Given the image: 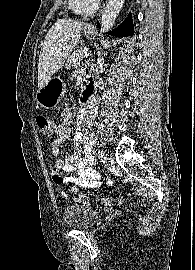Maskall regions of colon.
<instances>
[{
  "mask_svg": "<svg viewBox=\"0 0 195 270\" xmlns=\"http://www.w3.org/2000/svg\"><path fill=\"white\" fill-rule=\"evenodd\" d=\"M36 124L41 132L45 135H51L55 128L54 122L50 118L43 115L37 116ZM102 202L108 206L115 204V201L111 198H103Z\"/></svg>",
  "mask_w": 195,
  "mask_h": 270,
  "instance_id": "1",
  "label": "colon"
}]
</instances>
